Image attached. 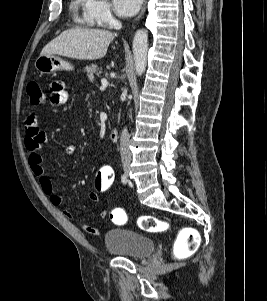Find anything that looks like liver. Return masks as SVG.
Wrapping results in <instances>:
<instances>
[{"instance_id":"obj_1","label":"liver","mask_w":267,"mask_h":301,"mask_svg":"<svg viewBox=\"0 0 267 301\" xmlns=\"http://www.w3.org/2000/svg\"><path fill=\"white\" fill-rule=\"evenodd\" d=\"M114 37L108 30L69 29L50 41L40 55H60L79 60L101 59Z\"/></svg>"}]
</instances>
